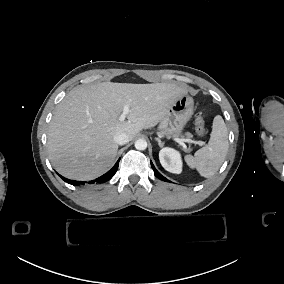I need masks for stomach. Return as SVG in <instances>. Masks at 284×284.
Returning a JSON list of instances; mask_svg holds the SVG:
<instances>
[{"instance_id":"stomach-1","label":"stomach","mask_w":284,"mask_h":284,"mask_svg":"<svg viewBox=\"0 0 284 284\" xmlns=\"http://www.w3.org/2000/svg\"><path fill=\"white\" fill-rule=\"evenodd\" d=\"M193 116V100L185 95L178 99L170 108L165 118L158 126V131L163 134L179 136Z\"/></svg>"}]
</instances>
